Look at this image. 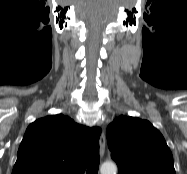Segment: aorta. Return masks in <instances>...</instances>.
I'll return each mask as SVG.
<instances>
[{
  "label": "aorta",
  "instance_id": "obj_1",
  "mask_svg": "<svg viewBox=\"0 0 187 174\" xmlns=\"http://www.w3.org/2000/svg\"><path fill=\"white\" fill-rule=\"evenodd\" d=\"M117 167L114 163H103L100 168L101 174H116Z\"/></svg>",
  "mask_w": 187,
  "mask_h": 174
}]
</instances>
